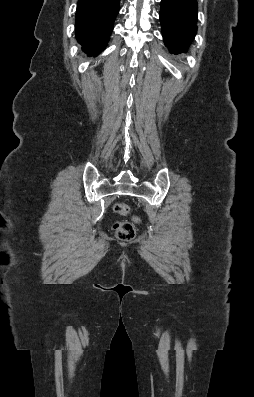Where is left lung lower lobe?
Segmentation results:
<instances>
[{"mask_svg":"<svg viewBox=\"0 0 254 397\" xmlns=\"http://www.w3.org/2000/svg\"><path fill=\"white\" fill-rule=\"evenodd\" d=\"M160 21L170 51H185L197 33V0H161Z\"/></svg>","mask_w":254,"mask_h":397,"instance_id":"left-lung-lower-lobe-1","label":"left lung lower lobe"}]
</instances>
